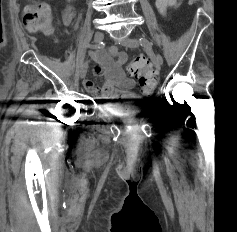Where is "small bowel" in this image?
Listing matches in <instances>:
<instances>
[{
  "instance_id": "obj_1",
  "label": "small bowel",
  "mask_w": 237,
  "mask_h": 232,
  "mask_svg": "<svg viewBox=\"0 0 237 232\" xmlns=\"http://www.w3.org/2000/svg\"><path fill=\"white\" fill-rule=\"evenodd\" d=\"M178 4V0H175L174 6ZM73 14V9L67 7L64 13L66 24L71 22ZM92 56L96 62L93 68L94 75L104 76L105 80L101 89H98L91 79H86L85 89L93 97L105 100H119L131 96L130 90L135 86V81L126 75L123 68L128 59L127 54L118 47L112 46L108 51L94 52Z\"/></svg>"
}]
</instances>
